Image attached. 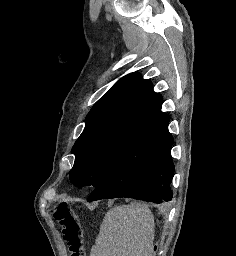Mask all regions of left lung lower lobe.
Listing matches in <instances>:
<instances>
[{"label": "left lung lower lobe", "mask_w": 236, "mask_h": 256, "mask_svg": "<svg viewBox=\"0 0 236 256\" xmlns=\"http://www.w3.org/2000/svg\"><path fill=\"white\" fill-rule=\"evenodd\" d=\"M170 117L157 111L130 138L107 176L87 201L128 197L161 203L172 198L174 174Z\"/></svg>", "instance_id": "0a47b994"}]
</instances>
